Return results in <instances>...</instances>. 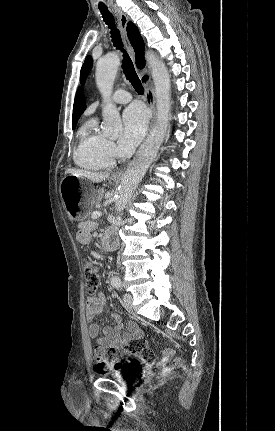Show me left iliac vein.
<instances>
[{
  "label": "left iliac vein",
  "instance_id": "obj_1",
  "mask_svg": "<svg viewBox=\"0 0 275 431\" xmlns=\"http://www.w3.org/2000/svg\"><path fill=\"white\" fill-rule=\"evenodd\" d=\"M123 300H124V305H125V307L128 309V310H133V298H132V295L131 294H128V293H126V294H124V296H123Z\"/></svg>",
  "mask_w": 275,
  "mask_h": 431
}]
</instances>
